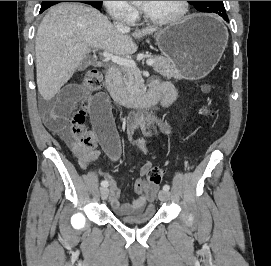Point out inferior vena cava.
Listing matches in <instances>:
<instances>
[{
  "mask_svg": "<svg viewBox=\"0 0 271 266\" xmlns=\"http://www.w3.org/2000/svg\"><path fill=\"white\" fill-rule=\"evenodd\" d=\"M114 27L117 30L121 31V32H125V31H129L130 30V28L125 23L118 22V21L114 22Z\"/></svg>",
  "mask_w": 271,
  "mask_h": 266,
  "instance_id": "obj_1",
  "label": "inferior vena cava"
}]
</instances>
